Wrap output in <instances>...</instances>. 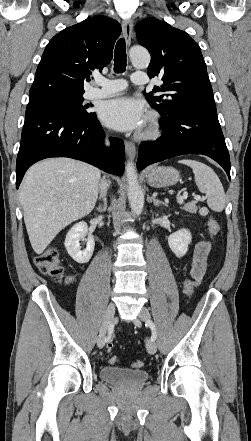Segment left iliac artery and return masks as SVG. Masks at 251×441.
Instances as JSON below:
<instances>
[{
	"label": "left iliac artery",
	"instance_id": "obj_1",
	"mask_svg": "<svg viewBox=\"0 0 251 441\" xmlns=\"http://www.w3.org/2000/svg\"><path fill=\"white\" fill-rule=\"evenodd\" d=\"M146 325H148L152 331L151 340L155 341L157 337L155 324L152 321H148L146 322Z\"/></svg>",
	"mask_w": 251,
	"mask_h": 441
}]
</instances>
